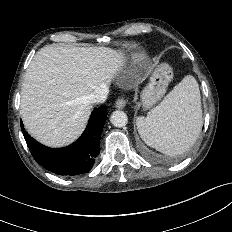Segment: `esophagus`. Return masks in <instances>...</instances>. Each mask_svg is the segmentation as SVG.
Here are the masks:
<instances>
[{"label": "esophagus", "instance_id": "obj_1", "mask_svg": "<svg viewBox=\"0 0 232 232\" xmlns=\"http://www.w3.org/2000/svg\"><path fill=\"white\" fill-rule=\"evenodd\" d=\"M126 105V101L124 98H118L115 103V107L117 109H123Z\"/></svg>", "mask_w": 232, "mask_h": 232}]
</instances>
